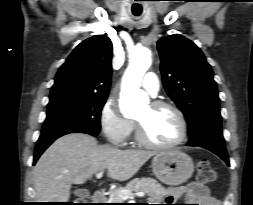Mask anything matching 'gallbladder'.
Listing matches in <instances>:
<instances>
[{"label":"gallbladder","mask_w":253,"mask_h":205,"mask_svg":"<svg viewBox=\"0 0 253 205\" xmlns=\"http://www.w3.org/2000/svg\"><path fill=\"white\" fill-rule=\"evenodd\" d=\"M74 194L78 197H89V191L85 189H78Z\"/></svg>","instance_id":"bac80fb5"}]
</instances>
